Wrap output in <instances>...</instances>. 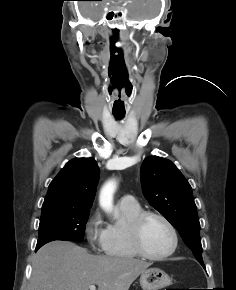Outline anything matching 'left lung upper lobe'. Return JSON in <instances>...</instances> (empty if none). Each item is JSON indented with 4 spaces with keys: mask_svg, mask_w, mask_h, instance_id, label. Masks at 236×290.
I'll return each mask as SVG.
<instances>
[{
    "mask_svg": "<svg viewBox=\"0 0 236 290\" xmlns=\"http://www.w3.org/2000/svg\"><path fill=\"white\" fill-rule=\"evenodd\" d=\"M141 182L150 205L178 230L200 264H204L196 205L191 186L181 172L171 161L150 156L142 163Z\"/></svg>",
    "mask_w": 236,
    "mask_h": 290,
    "instance_id": "1",
    "label": "left lung upper lobe"
}]
</instances>
